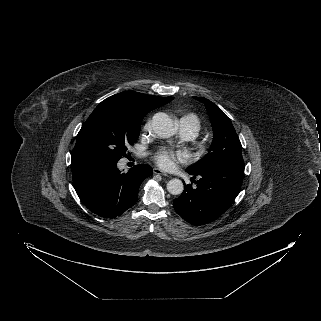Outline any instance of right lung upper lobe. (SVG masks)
<instances>
[{
	"label": "right lung upper lobe",
	"mask_w": 321,
	"mask_h": 321,
	"mask_svg": "<svg viewBox=\"0 0 321 321\" xmlns=\"http://www.w3.org/2000/svg\"><path fill=\"white\" fill-rule=\"evenodd\" d=\"M173 97H158L139 92L125 91L108 97L105 102H116L126 106L135 115H146L155 108L167 104Z\"/></svg>",
	"instance_id": "right-lung-upper-lobe-1"
}]
</instances>
